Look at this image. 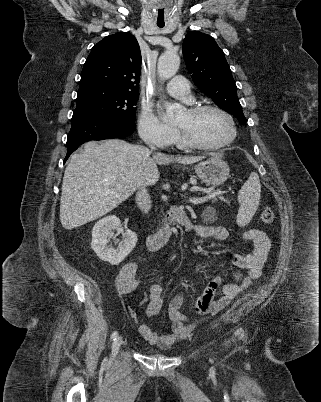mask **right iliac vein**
I'll return each instance as SVG.
<instances>
[{"instance_id":"63e3f726","label":"right iliac vein","mask_w":321,"mask_h":402,"mask_svg":"<svg viewBox=\"0 0 321 402\" xmlns=\"http://www.w3.org/2000/svg\"><path fill=\"white\" fill-rule=\"evenodd\" d=\"M122 337L118 336L114 342L112 343V353L111 356L114 358L116 356V354L118 353V350L122 344Z\"/></svg>"}]
</instances>
